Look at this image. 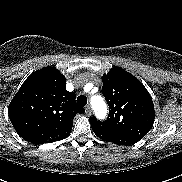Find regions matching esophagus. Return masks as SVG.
<instances>
[{
  "label": "esophagus",
  "instance_id": "1",
  "mask_svg": "<svg viewBox=\"0 0 182 182\" xmlns=\"http://www.w3.org/2000/svg\"><path fill=\"white\" fill-rule=\"evenodd\" d=\"M85 114H86L87 116H90V115L92 114V109H91L90 105H87V106L85 107Z\"/></svg>",
  "mask_w": 182,
  "mask_h": 182
}]
</instances>
